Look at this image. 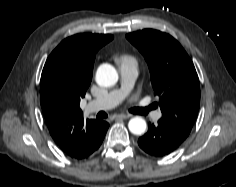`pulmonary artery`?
Masks as SVG:
<instances>
[{
    "mask_svg": "<svg viewBox=\"0 0 236 187\" xmlns=\"http://www.w3.org/2000/svg\"><path fill=\"white\" fill-rule=\"evenodd\" d=\"M120 74L121 87L90 101L86 106V111L88 113L111 109L125 98L138 76V70L133 63H123L120 65ZM154 117L159 119L161 117V112H155Z\"/></svg>",
    "mask_w": 236,
    "mask_h": 187,
    "instance_id": "1",
    "label": "pulmonary artery"
}]
</instances>
